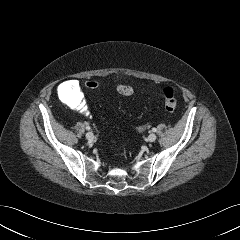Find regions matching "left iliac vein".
<instances>
[{
    "label": "left iliac vein",
    "instance_id": "1",
    "mask_svg": "<svg viewBox=\"0 0 240 240\" xmlns=\"http://www.w3.org/2000/svg\"><path fill=\"white\" fill-rule=\"evenodd\" d=\"M156 139H157V136L154 133H151L147 138L149 142H154Z\"/></svg>",
    "mask_w": 240,
    "mask_h": 240
}]
</instances>
